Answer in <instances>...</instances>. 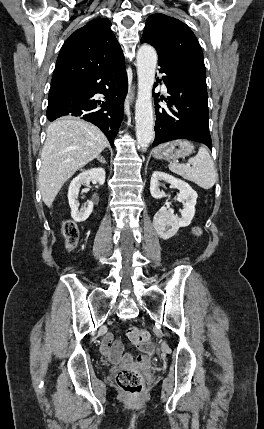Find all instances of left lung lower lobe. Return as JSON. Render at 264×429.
<instances>
[{
	"label": "left lung lower lobe",
	"instance_id": "0a47b994",
	"mask_svg": "<svg viewBox=\"0 0 264 429\" xmlns=\"http://www.w3.org/2000/svg\"><path fill=\"white\" fill-rule=\"evenodd\" d=\"M158 65L161 67L159 71L165 74L163 80L169 96L165 99L168 107L162 108L157 104L158 95L154 94L156 135L152 146L175 139H189L204 143L211 149L206 84L164 56L158 55Z\"/></svg>",
	"mask_w": 264,
	"mask_h": 429
}]
</instances>
